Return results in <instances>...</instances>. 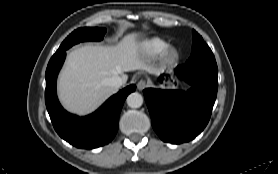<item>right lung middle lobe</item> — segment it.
I'll return each mask as SVG.
<instances>
[{
	"mask_svg": "<svg viewBox=\"0 0 278 174\" xmlns=\"http://www.w3.org/2000/svg\"><path fill=\"white\" fill-rule=\"evenodd\" d=\"M106 33L105 28L84 27L73 31L61 44L57 51L67 50L82 41H100Z\"/></svg>",
	"mask_w": 278,
	"mask_h": 174,
	"instance_id": "1",
	"label": "right lung middle lobe"
}]
</instances>
